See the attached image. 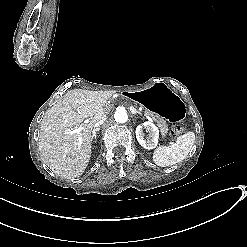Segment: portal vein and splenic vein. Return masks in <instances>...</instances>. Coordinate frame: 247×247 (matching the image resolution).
Returning a JSON list of instances; mask_svg holds the SVG:
<instances>
[{"mask_svg":"<svg viewBox=\"0 0 247 247\" xmlns=\"http://www.w3.org/2000/svg\"><path fill=\"white\" fill-rule=\"evenodd\" d=\"M146 118L149 121H153V118H151L149 115H146ZM84 123H87V120H84ZM81 130L82 127H78L76 130H67V133H78L79 143H82Z\"/></svg>","mask_w":247,"mask_h":247,"instance_id":"portal-vein-and-splenic-vein-1","label":"portal vein and splenic vein"}]
</instances>
